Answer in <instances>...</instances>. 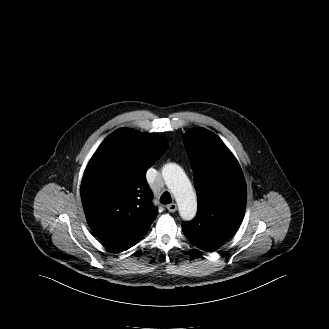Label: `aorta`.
Returning a JSON list of instances; mask_svg holds the SVG:
<instances>
[{"label":"aorta","mask_w":329,"mask_h":329,"mask_svg":"<svg viewBox=\"0 0 329 329\" xmlns=\"http://www.w3.org/2000/svg\"><path fill=\"white\" fill-rule=\"evenodd\" d=\"M162 177L176 199L182 219H193L197 212V200L183 169L175 163H168L162 169Z\"/></svg>","instance_id":"obj_1"}]
</instances>
